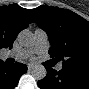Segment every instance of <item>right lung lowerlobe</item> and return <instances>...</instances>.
Masks as SVG:
<instances>
[{
    "instance_id": "98d812e1",
    "label": "right lung lower lobe",
    "mask_w": 89,
    "mask_h": 89,
    "mask_svg": "<svg viewBox=\"0 0 89 89\" xmlns=\"http://www.w3.org/2000/svg\"><path fill=\"white\" fill-rule=\"evenodd\" d=\"M27 71V66L16 62L6 65L0 60V86L3 89H13L17 86L19 78Z\"/></svg>"
}]
</instances>
